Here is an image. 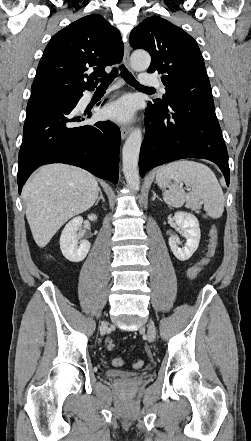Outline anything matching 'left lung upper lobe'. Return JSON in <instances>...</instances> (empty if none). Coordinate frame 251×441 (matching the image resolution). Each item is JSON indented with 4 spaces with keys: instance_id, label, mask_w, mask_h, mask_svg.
Instances as JSON below:
<instances>
[{
    "instance_id": "obj_1",
    "label": "left lung upper lobe",
    "mask_w": 251,
    "mask_h": 441,
    "mask_svg": "<svg viewBox=\"0 0 251 441\" xmlns=\"http://www.w3.org/2000/svg\"><path fill=\"white\" fill-rule=\"evenodd\" d=\"M133 49H145L151 55L148 73L162 74L166 93L153 104H169L195 96L212 98L211 86L197 42L169 21L152 16L130 34Z\"/></svg>"
}]
</instances>
